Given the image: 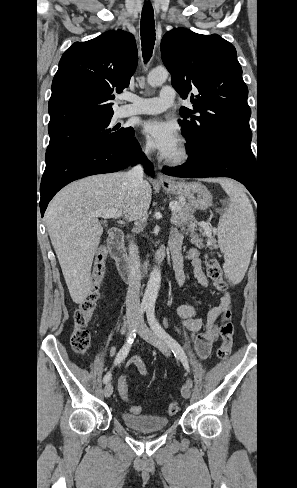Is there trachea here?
I'll return each instance as SVG.
<instances>
[{
    "label": "trachea",
    "mask_w": 297,
    "mask_h": 488,
    "mask_svg": "<svg viewBox=\"0 0 297 488\" xmlns=\"http://www.w3.org/2000/svg\"><path fill=\"white\" fill-rule=\"evenodd\" d=\"M140 30L143 58L147 62L152 56L156 35L154 12L151 4H145L142 9Z\"/></svg>",
    "instance_id": "3493384b"
}]
</instances>
